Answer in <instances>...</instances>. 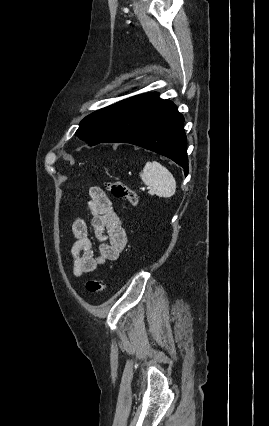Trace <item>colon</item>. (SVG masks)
I'll return each mask as SVG.
<instances>
[{"label": "colon", "instance_id": "5ec220e1", "mask_svg": "<svg viewBox=\"0 0 269 426\" xmlns=\"http://www.w3.org/2000/svg\"><path fill=\"white\" fill-rule=\"evenodd\" d=\"M107 187L114 197L126 200L131 206L137 205L138 196L136 192L126 184L119 181H111L108 182ZM86 289L91 294H101L105 290V285L99 280L89 279L86 282Z\"/></svg>", "mask_w": 269, "mask_h": 426}]
</instances>
